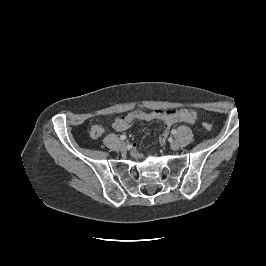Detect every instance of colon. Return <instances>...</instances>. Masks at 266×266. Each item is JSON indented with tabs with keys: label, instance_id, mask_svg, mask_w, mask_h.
Wrapping results in <instances>:
<instances>
[{
	"label": "colon",
	"instance_id": "colon-1",
	"mask_svg": "<svg viewBox=\"0 0 266 266\" xmlns=\"http://www.w3.org/2000/svg\"><path fill=\"white\" fill-rule=\"evenodd\" d=\"M202 126L204 127L205 130H211L212 129V125L210 123L204 122L202 124Z\"/></svg>",
	"mask_w": 266,
	"mask_h": 266
}]
</instances>
